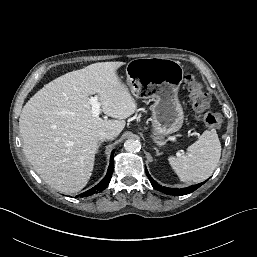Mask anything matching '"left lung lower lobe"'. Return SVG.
<instances>
[{"label":"left lung lower lobe","instance_id":"left-lung-lower-lobe-1","mask_svg":"<svg viewBox=\"0 0 257 257\" xmlns=\"http://www.w3.org/2000/svg\"><path fill=\"white\" fill-rule=\"evenodd\" d=\"M146 174L148 176L149 181L151 182L152 186L157 189L158 191H161L165 194H169V195H176V196H181V195H186L189 194L193 191H195L196 189H198L201 185L204 184V182L197 184V185H192L190 187L187 188H183V189H175V188H167V187H162L159 184L156 183L155 180L152 179V177L150 176V174L148 173L147 169H145Z\"/></svg>","mask_w":257,"mask_h":257}]
</instances>
